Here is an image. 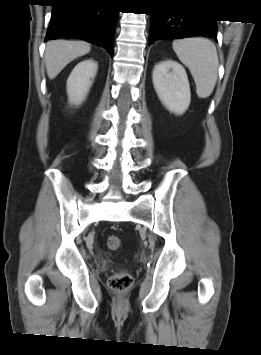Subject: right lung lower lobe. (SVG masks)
Instances as JSON below:
<instances>
[{"instance_id":"right-lung-lower-lobe-1","label":"right lung lower lobe","mask_w":261,"mask_h":355,"mask_svg":"<svg viewBox=\"0 0 261 355\" xmlns=\"http://www.w3.org/2000/svg\"><path fill=\"white\" fill-rule=\"evenodd\" d=\"M45 41L80 38L98 44L113 55L114 34L119 12L103 0H55Z\"/></svg>"}]
</instances>
